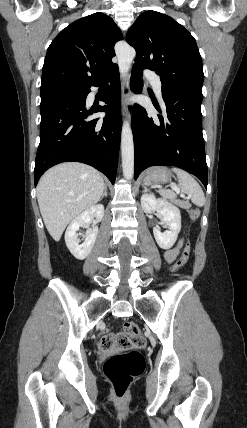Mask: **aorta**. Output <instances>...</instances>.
<instances>
[{
  "mask_svg": "<svg viewBox=\"0 0 247 428\" xmlns=\"http://www.w3.org/2000/svg\"><path fill=\"white\" fill-rule=\"evenodd\" d=\"M134 57L135 50L127 44L117 49L118 67L122 77L127 76ZM121 155L123 175L131 180L134 175V141L128 121H124L122 125Z\"/></svg>",
  "mask_w": 247,
  "mask_h": 428,
  "instance_id": "aorta-1",
  "label": "aorta"
}]
</instances>
